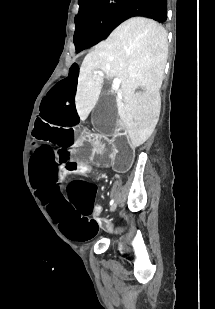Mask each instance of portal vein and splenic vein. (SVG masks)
<instances>
[{
  "instance_id": "18ae733b",
  "label": "portal vein and splenic vein",
  "mask_w": 215,
  "mask_h": 309,
  "mask_svg": "<svg viewBox=\"0 0 215 309\" xmlns=\"http://www.w3.org/2000/svg\"><path fill=\"white\" fill-rule=\"evenodd\" d=\"M94 74H100V76H103L104 72H102V70H94ZM120 78H113V84H115V86H120Z\"/></svg>"
}]
</instances>
